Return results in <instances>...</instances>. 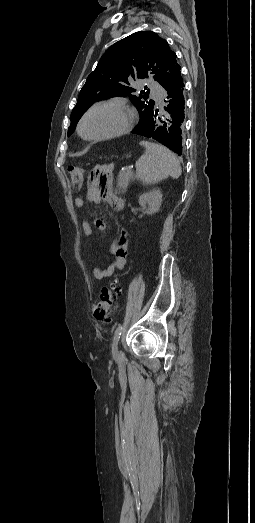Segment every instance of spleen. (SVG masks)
I'll return each mask as SVG.
<instances>
[{"label":"spleen","instance_id":"spleen-1","mask_svg":"<svg viewBox=\"0 0 255 523\" xmlns=\"http://www.w3.org/2000/svg\"><path fill=\"white\" fill-rule=\"evenodd\" d=\"M140 146H144L146 152L137 160L136 172L144 184H157L168 176L171 178L181 176L180 162L168 148L151 142H140Z\"/></svg>","mask_w":255,"mask_h":523}]
</instances>
